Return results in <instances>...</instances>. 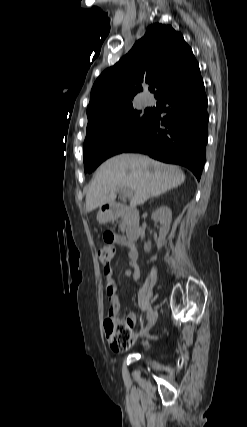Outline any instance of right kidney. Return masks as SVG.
<instances>
[{
  "mask_svg": "<svg viewBox=\"0 0 247 427\" xmlns=\"http://www.w3.org/2000/svg\"><path fill=\"white\" fill-rule=\"evenodd\" d=\"M151 218L160 223L159 238L157 240V247L160 249L165 244L166 236L170 229L172 221L171 209L167 206H161L152 213ZM152 260H156V256Z\"/></svg>",
  "mask_w": 247,
  "mask_h": 427,
  "instance_id": "obj_1",
  "label": "right kidney"
}]
</instances>
